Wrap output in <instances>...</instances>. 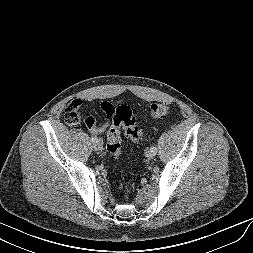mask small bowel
Returning a JSON list of instances; mask_svg holds the SVG:
<instances>
[{
	"instance_id": "c3829d8e",
	"label": "small bowel",
	"mask_w": 253,
	"mask_h": 253,
	"mask_svg": "<svg viewBox=\"0 0 253 253\" xmlns=\"http://www.w3.org/2000/svg\"><path fill=\"white\" fill-rule=\"evenodd\" d=\"M112 107H113V105L110 103H107V102L102 104L101 109H102L103 113L105 114L107 120L102 125H96L94 122L93 126H87L89 131L92 134H94V135L101 134L110 126L111 117H112V112H111Z\"/></svg>"
}]
</instances>
